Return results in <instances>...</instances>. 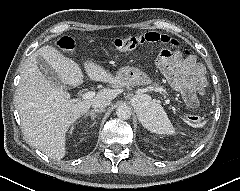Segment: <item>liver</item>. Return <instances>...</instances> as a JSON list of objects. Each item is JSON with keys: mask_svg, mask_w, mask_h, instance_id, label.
Returning a JSON list of instances; mask_svg holds the SVG:
<instances>
[{"mask_svg": "<svg viewBox=\"0 0 240 191\" xmlns=\"http://www.w3.org/2000/svg\"><path fill=\"white\" fill-rule=\"evenodd\" d=\"M42 57L66 85L78 86L83 82L79 66L53 46H43L24 64L15 102L26 140L52 159L60 160L66 154L65 140L68 128L87 113L95 100L115 99L118 89H101L91 99L73 102L61 86L46 79L37 65ZM88 77L112 85H122L116 76L91 60L84 63Z\"/></svg>", "mask_w": 240, "mask_h": 191, "instance_id": "1", "label": "liver"}]
</instances>
